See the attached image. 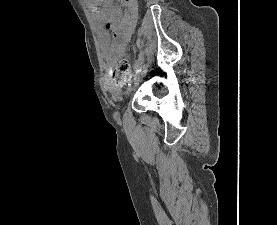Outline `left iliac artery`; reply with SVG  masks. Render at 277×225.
Wrapping results in <instances>:
<instances>
[{
    "label": "left iliac artery",
    "instance_id": "left-iliac-artery-1",
    "mask_svg": "<svg viewBox=\"0 0 277 225\" xmlns=\"http://www.w3.org/2000/svg\"><path fill=\"white\" fill-rule=\"evenodd\" d=\"M143 62H144V52L140 51L139 58H138V61L136 63V69H135L136 74H138L142 71Z\"/></svg>",
    "mask_w": 277,
    "mask_h": 225
}]
</instances>
